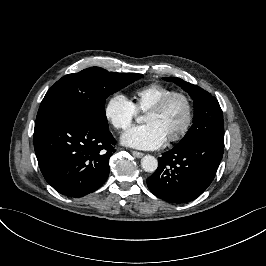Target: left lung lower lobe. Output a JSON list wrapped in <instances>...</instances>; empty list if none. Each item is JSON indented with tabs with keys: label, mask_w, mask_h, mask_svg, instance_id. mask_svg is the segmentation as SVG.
I'll return each instance as SVG.
<instances>
[{
	"label": "left lung lower lobe",
	"mask_w": 266,
	"mask_h": 266,
	"mask_svg": "<svg viewBox=\"0 0 266 266\" xmlns=\"http://www.w3.org/2000/svg\"><path fill=\"white\" fill-rule=\"evenodd\" d=\"M224 151V140L204 138L174 147L158 158L157 170L147 178L150 191L170 203H187L213 181Z\"/></svg>",
	"instance_id": "obj_1"
}]
</instances>
